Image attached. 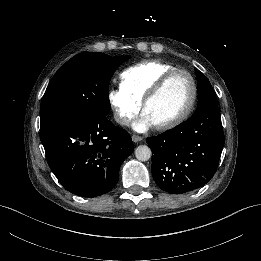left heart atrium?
Here are the masks:
<instances>
[{
	"label": "left heart atrium",
	"instance_id": "1",
	"mask_svg": "<svg viewBox=\"0 0 261 261\" xmlns=\"http://www.w3.org/2000/svg\"><path fill=\"white\" fill-rule=\"evenodd\" d=\"M153 125V122L149 119V117L144 113L140 120L137 121L134 125L135 129L137 131H145L147 130L149 127H151Z\"/></svg>",
	"mask_w": 261,
	"mask_h": 261
}]
</instances>
